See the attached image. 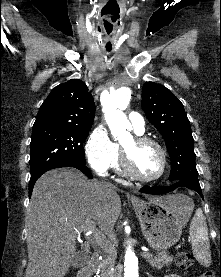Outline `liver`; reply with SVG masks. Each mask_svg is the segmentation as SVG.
Listing matches in <instances>:
<instances>
[{
	"instance_id": "1",
	"label": "liver",
	"mask_w": 221,
	"mask_h": 277,
	"mask_svg": "<svg viewBox=\"0 0 221 277\" xmlns=\"http://www.w3.org/2000/svg\"><path fill=\"white\" fill-rule=\"evenodd\" d=\"M146 198L174 204L181 196ZM117 188L89 181L74 168L46 172L35 183L27 210L25 277H64L76 257V239L94 222L110 233L120 215Z\"/></svg>"
}]
</instances>
